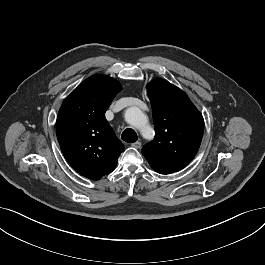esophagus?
Masks as SVG:
<instances>
[{"label":"esophagus","mask_w":265,"mask_h":265,"mask_svg":"<svg viewBox=\"0 0 265 265\" xmlns=\"http://www.w3.org/2000/svg\"><path fill=\"white\" fill-rule=\"evenodd\" d=\"M131 146L136 148V149H139L141 147V142L137 141V142L131 144Z\"/></svg>","instance_id":"1"}]
</instances>
